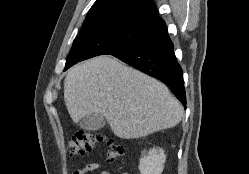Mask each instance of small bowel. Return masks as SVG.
I'll return each mask as SVG.
<instances>
[{
	"instance_id": "1",
	"label": "small bowel",
	"mask_w": 249,
	"mask_h": 174,
	"mask_svg": "<svg viewBox=\"0 0 249 174\" xmlns=\"http://www.w3.org/2000/svg\"><path fill=\"white\" fill-rule=\"evenodd\" d=\"M94 171H99V174H111L110 171L101 170V164L99 162L88 163L83 168L74 170L72 174H87Z\"/></svg>"
}]
</instances>
